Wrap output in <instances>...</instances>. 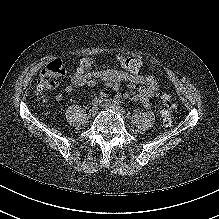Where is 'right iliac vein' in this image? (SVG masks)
Returning a JSON list of instances; mask_svg holds the SVG:
<instances>
[{"label":"right iliac vein","instance_id":"right-iliac-vein-1","mask_svg":"<svg viewBox=\"0 0 219 219\" xmlns=\"http://www.w3.org/2000/svg\"><path fill=\"white\" fill-rule=\"evenodd\" d=\"M97 108L96 107H92L90 110H89V115L90 116H95L97 114Z\"/></svg>","mask_w":219,"mask_h":219}]
</instances>
